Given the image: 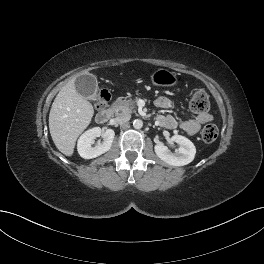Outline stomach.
I'll use <instances>...</instances> for the list:
<instances>
[{
	"label": "stomach",
	"instance_id": "1",
	"mask_svg": "<svg viewBox=\"0 0 264 264\" xmlns=\"http://www.w3.org/2000/svg\"><path fill=\"white\" fill-rule=\"evenodd\" d=\"M151 81L155 86L171 87L177 84L178 78L174 72L160 68L153 72Z\"/></svg>",
	"mask_w": 264,
	"mask_h": 264
}]
</instances>
